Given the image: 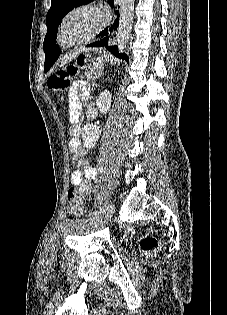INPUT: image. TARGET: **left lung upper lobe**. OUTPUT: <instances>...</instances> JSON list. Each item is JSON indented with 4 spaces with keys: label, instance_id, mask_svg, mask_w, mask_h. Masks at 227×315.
Masks as SVG:
<instances>
[{
    "label": "left lung upper lobe",
    "instance_id": "1",
    "mask_svg": "<svg viewBox=\"0 0 227 315\" xmlns=\"http://www.w3.org/2000/svg\"><path fill=\"white\" fill-rule=\"evenodd\" d=\"M91 1L93 0H51V7L46 17L47 34L44 39L43 48L46 49L51 43H55L57 28L62 18L70 10L74 7L88 4Z\"/></svg>",
    "mask_w": 227,
    "mask_h": 315
}]
</instances>
